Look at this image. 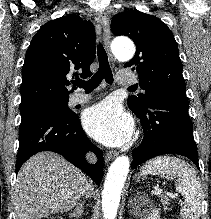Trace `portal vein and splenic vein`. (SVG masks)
Returning a JSON list of instances; mask_svg holds the SVG:
<instances>
[{
    "instance_id": "obj_1",
    "label": "portal vein and splenic vein",
    "mask_w": 211,
    "mask_h": 219,
    "mask_svg": "<svg viewBox=\"0 0 211 219\" xmlns=\"http://www.w3.org/2000/svg\"><path fill=\"white\" fill-rule=\"evenodd\" d=\"M162 191H163L162 189L157 188V189L153 190L152 193H153V194H160ZM167 195H169V196L172 197V198H176V195H175V194H172V193H169V192H168Z\"/></svg>"
}]
</instances>
